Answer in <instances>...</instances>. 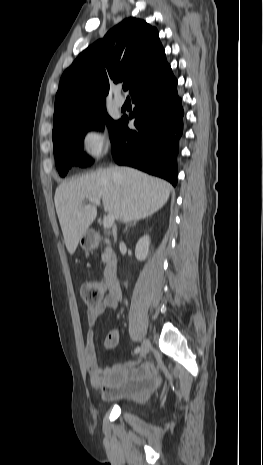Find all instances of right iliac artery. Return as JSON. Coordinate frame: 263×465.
<instances>
[{
	"instance_id": "right-iliac-artery-1",
	"label": "right iliac artery",
	"mask_w": 263,
	"mask_h": 465,
	"mask_svg": "<svg viewBox=\"0 0 263 465\" xmlns=\"http://www.w3.org/2000/svg\"><path fill=\"white\" fill-rule=\"evenodd\" d=\"M140 352V347H137L135 350H134V354H137Z\"/></svg>"
}]
</instances>
